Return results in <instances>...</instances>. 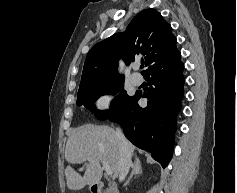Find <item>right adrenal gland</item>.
<instances>
[{"mask_svg":"<svg viewBox=\"0 0 237 193\" xmlns=\"http://www.w3.org/2000/svg\"><path fill=\"white\" fill-rule=\"evenodd\" d=\"M142 173L143 172H142L141 161L138 158H136L134 164L132 165V172H131L129 178L124 183V186H127L129 184L130 180L132 179V177L134 175H141Z\"/></svg>","mask_w":237,"mask_h":193,"instance_id":"2a0ac1e0","label":"right adrenal gland"}]
</instances>
